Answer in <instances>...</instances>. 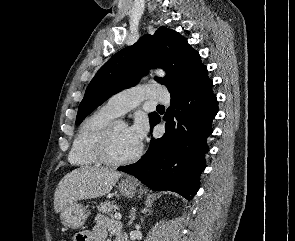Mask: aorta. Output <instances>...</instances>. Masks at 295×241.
Here are the masks:
<instances>
[{
    "label": "aorta",
    "mask_w": 295,
    "mask_h": 241,
    "mask_svg": "<svg viewBox=\"0 0 295 241\" xmlns=\"http://www.w3.org/2000/svg\"><path fill=\"white\" fill-rule=\"evenodd\" d=\"M153 73L160 77L165 76V72L162 69H156L153 71Z\"/></svg>",
    "instance_id": "1"
}]
</instances>
